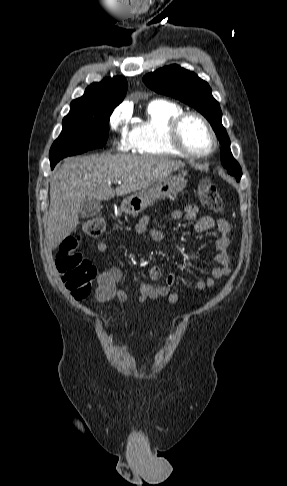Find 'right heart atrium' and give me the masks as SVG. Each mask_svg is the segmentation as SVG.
Here are the masks:
<instances>
[{
  "label": "right heart atrium",
  "mask_w": 287,
  "mask_h": 486,
  "mask_svg": "<svg viewBox=\"0 0 287 486\" xmlns=\"http://www.w3.org/2000/svg\"><path fill=\"white\" fill-rule=\"evenodd\" d=\"M128 119L127 112L122 109H116L109 118L110 128L119 133L116 147L120 151H129L132 149L129 132L127 130Z\"/></svg>",
  "instance_id": "1"
}]
</instances>
